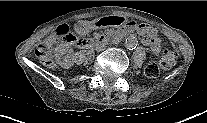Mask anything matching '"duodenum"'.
Returning a JSON list of instances; mask_svg holds the SVG:
<instances>
[{"label": "duodenum", "mask_w": 207, "mask_h": 123, "mask_svg": "<svg viewBox=\"0 0 207 123\" xmlns=\"http://www.w3.org/2000/svg\"><path fill=\"white\" fill-rule=\"evenodd\" d=\"M129 32L130 31H121L120 33H116V34H109L101 37H95L85 41L83 45L85 48L90 49L100 43L114 44L119 42Z\"/></svg>", "instance_id": "duodenum-1"}]
</instances>
